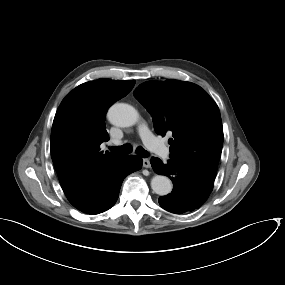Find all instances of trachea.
<instances>
[{
	"label": "trachea",
	"instance_id": "1",
	"mask_svg": "<svg viewBox=\"0 0 285 285\" xmlns=\"http://www.w3.org/2000/svg\"><path fill=\"white\" fill-rule=\"evenodd\" d=\"M110 150L118 153L119 155H127L131 153L132 146L130 144H125L122 146L110 147ZM136 154L143 158H146L148 156V152L141 146L136 148Z\"/></svg>",
	"mask_w": 285,
	"mask_h": 285
}]
</instances>
